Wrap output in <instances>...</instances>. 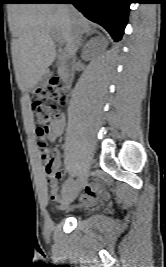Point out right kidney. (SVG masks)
<instances>
[{"label": "right kidney", "mask_w": 166, "mask_h": 267, "mask_svg": "<svg viewBox=\"0 0 166 267\" xmlns=\"http://www.w3.org/2000/svg\"><path fill=\"white\" fill-rule=\"evenodd\" d=\"M105 43V40L103 37H97L94 40H91V45L87 51L88 55H94L95 51L99 48V46Z\"/></svg>", "instance_id": "1"}]
</instances>
